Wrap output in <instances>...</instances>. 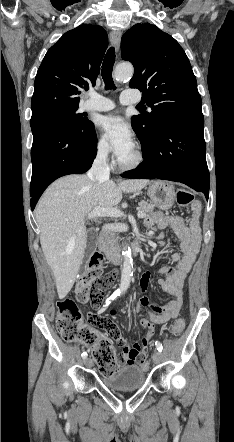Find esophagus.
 I'll list each match as a JSON object with an SVG mask.
<instances>
[{
  "instance_id": "1",
  "label": "esophagus",
  "mask_w": 234,
  "mask_h": 442,
  "mask_svg": "<svg viewBox=\"0 0 234 442\" xmlns=\"http://www.w3.org/2000/svg\"><path fill=\"white\" fill-rule=\"evenodd\" d=\"M110 41H111V44L114 46L116 52H118L119 47H120V41H121V32L120 31H112L110 33Z\"/></svg>"
}]
</instances>
